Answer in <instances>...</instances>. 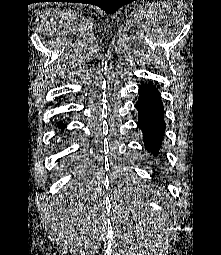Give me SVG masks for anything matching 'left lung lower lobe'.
<instances>
[{"label": "left lung lower lobe", "instance_id": "obj_1", "mask_svg": "<svg viewBox=\"0 0 221 255\" xmlns=\"http://www.w3.org/2000/svg\"><path fill=\"white\" fill-rule=\"evenodd\" d=\"M135 106L139 112L138 127L143 132L145 147L157 155L166 126L164 107L156 87L152 84L141 85Z\"/></svg>", "mask_w": 221, "mask_h": 255}]
</instances>
